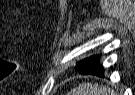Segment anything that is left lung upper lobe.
<instances>
[{"label": "left lung upper lobe", "instance_id": "obj_1", "mask_svg": "<svg viewBox=\"0 0 135 95\" xmlns=\"http://www.w3.org/2000/svg\"><path fill=\"white\" fill-rule=\"evenodd\" d=\"M87 59H88V58L79 61V62L77 63V66H75V69L78 70V69H80V68H83V67L85 66V63H86Z\"/></svg>", "mask_w": 135, "mask_h": 95}]
</instances>
